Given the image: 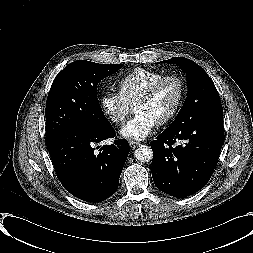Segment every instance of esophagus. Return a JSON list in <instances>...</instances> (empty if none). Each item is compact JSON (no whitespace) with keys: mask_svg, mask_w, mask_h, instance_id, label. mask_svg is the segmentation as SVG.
<instances>
[{"mask_svg":"<svg viewBox=\"0 0 253 253\" xmlns=\"http://www.w3.org/2000/svg\"><path fill=\"white\" fill-rule=\"evenodd\" d=\"M129 144L131 147L135 148L139 145H141V143L137 142V141H134V140H129Z\"/></svg>","mask_w":253,"mask_h":253,"instance_id":"34e87169","label":"esophagus"}]
</instances>
